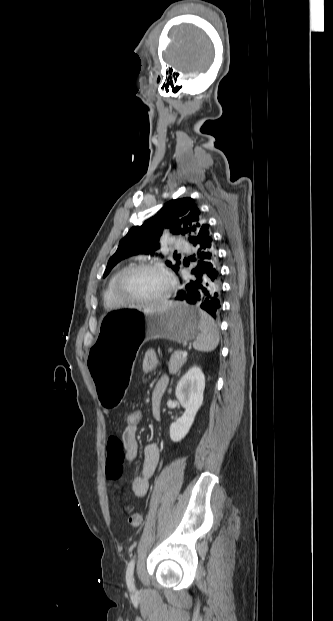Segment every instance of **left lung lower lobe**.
I'll return each instance as SVG.
<instances>
[{
	"instance_id": "left-lung-lower-lobe-1",
	"label": "left lung lower lobe",
	"mask_w": 333,
	"mask_h": 621,
	"mask_svg": "<svg viewBox=\"0 0 333 621\" xmlns=\"http://www.w3.org/2000/svg\"><path fill=\"white\" fill-rule=\"evenodd\" d=\"M197 253L192 260L197 265L191 273L194 279L185 281L183 289L177 292L174 300L197 304L216 318L221 308L222 283L218 253L215 249L210 228L204 225L192 240Z\"/></svg>"
}]
</instances>
